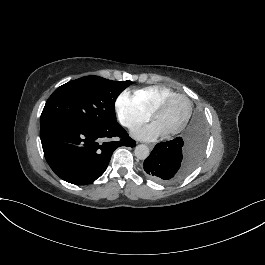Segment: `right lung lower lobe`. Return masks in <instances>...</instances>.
Returning <instances> with one entry per match:
<instances>
[{
	"label": "right lung lower lobe",
	"mask_w": 265,
	"mask_h": 265,
	"mask_svg": "<svg viewBox=\"0 0 265 265\" xmlns=\"http://www.w3.org/2000/svg\"><path fill=\"white\" fill-rule=\"evenodd\" d=\"M119 141H108L112 137ZM45 158L61 179L76 185L93 183L106 170L114 150L136 142L119 125L60 121L41 128Z\"/></svg>",
	"instance_id": "98d812e1"
}]
</instances>
